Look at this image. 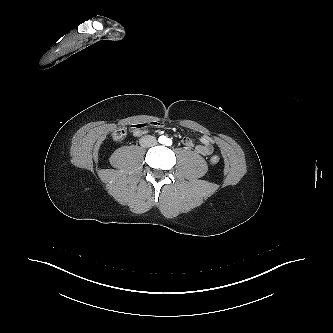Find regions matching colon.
Listing matches in <instances>:
<instances>
[{
  "mask_svg": "<svg viewBox=\"0 0 333 333\" xmlns=\"http://www.w3.org/2000/svg\"><path fill=\"white\" fill-rule=\"evenodd\" d=\"M127 135V130L125 128H118L113 132V139L116 141L123 140ZM210 161L212 164H217L220 161V157L217 154L211 156Z\"/></svg>",
  "mask_w": 333,
  "mask_h": 333,
  "instance_id": "colon-1",
  "label": "colon"
}]
</instances>
